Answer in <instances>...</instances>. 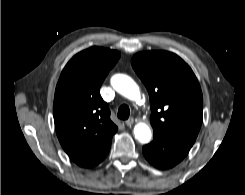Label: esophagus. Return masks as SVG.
I'll return each instance as SVG.
<instances>
[{
  "mask_svg": "<svg viewBox=\"0 0 245 195\" xmlns=\"http://www.w3.org/2000/svg\"><path fill=\"white\" fill-rule=\"evenodd\" d=\"M134 121L135 120L133 118H129L128 120H126L125 123H126L127 126H132L134 124Z\"/></svg>",
  "mask_w": 245,
  "mask_h": 195,
  "instance_id": "1",
  "label": "esophagus"
}]
</instances>
